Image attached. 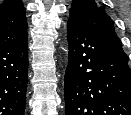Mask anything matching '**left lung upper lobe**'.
Listing matches in <instances>:
<instances>
[{
  "label": "left lung upper lobe",
  "mask_w": 131,
  "mask_h": 115,
  "mask_svg": "<svg viewBox=\"0 0 131 115\" xmlns=\"http://www.w3.org/2000/svg\"><path fill=\"white\" fill-rule=\"evenodd\" d=\"M69 20L76 21L94 33L113 51L128 60L121 41L114 32L111 18L105 13L104 7L97 6L95 0H73Z\"/></svg>",
  "instance_id": "obj_1"
}]
</instances>
